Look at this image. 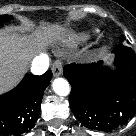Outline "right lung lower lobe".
Returning <instances> with one entry per match:
<instances>
[{
  "label": "right lung lower lobe",
  "instance_id": "1",
  "mask_svg": "<svg viewBox=\"0 0 136 136\" xmlns=\"http://www.w3.org/2000/svg\"><path fill=\"white\" fill-rule=\"evenodd\" d=\"M51 78V71L26 74L16 88L0 95V136H18L33 128Z\"/></svg>",
  "mask_w": 136,
  "mask_h": 136
}]
</instances>
